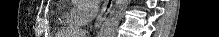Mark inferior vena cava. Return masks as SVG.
Wrapping results in <instances>:
<instances>
[{
	"mask_svg": "<svg viewBox=\"0 0 219 37\" xmlns=\"http://www.w3.org/2000/svg\"><path fill=\"white\" fill-rule=\"evenodd\" d=\"M98 10H99V8H98L97 5H93V6L91 7L90 19H95V17H96L97 14H98Z\"/></svg>",
	"mask_w": 219,
	"mask_h": 37,
	"instance_id": "602c4592",
	"label": "inferior vena cava"
}]
</instances>
